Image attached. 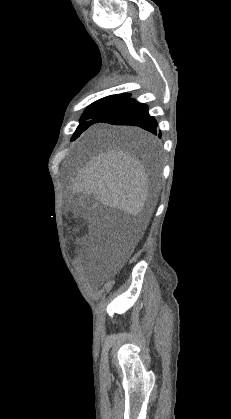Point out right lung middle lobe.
Wrapping results in <instances>:
<instances>
[{"label":"right lung middle lobe","instance_id":"dd1d6c3e","mask_svg":"<svg viewBox=\"0 0 231 419\" xmlns=\"http://www.w3.org/2000/svg\"><path fill=\"white\" fill-rule=\"evenodd\" d=\"M131 94L129 93H122L118 95H110L105 98H102L94 103H92L83 113L80 119V124L75 131L72 140L78 138L80 134L85 131L89 126L96 123L97 119L106 113L107 111L111 110L115 106L122 104L123 102L130 99ZM134 144L138 146H149L151 143H139L134 141Z\"/></svg>","mask_w":231,"mask_h":419}]
</instances>
